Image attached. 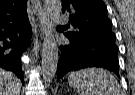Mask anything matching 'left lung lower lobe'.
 <instances>
[{
	"mask_svg": "<svg viewBox=\"0 0 135 95\" xmlns=\"http://www.w3.org/2000/svg\"><path fill=\"white\" fill-rule=\"evenodd\" d=\"M69 43L61 46L57 65V80L71 71L87 67H102L119 76L118 48L115 38L108 36L70 37Z\"/></svg>",
	"mask_w": 135,
	"mask_h": 95,
	"instance_id": "obj_1",
	"label": "left lung lower lobe"
}]
</instances>
